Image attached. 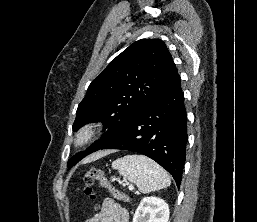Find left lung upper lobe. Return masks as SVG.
I'll use <instances>...</instances> for the list:
<instances>
[{
	"instance_id": "left-lung-upper-lobe-1",
	"label": "left lung upper lobe",
	"mask_w": 257,
	"mask_h": 222,
	"mask_svg": "<svg viewBox=\"0 0 257 222\" xmlns=\"http://www.w3.org/2000/svg\"><path fill=\"white\" fill-rule=\"evenodd\" d=\"M176 75L162 40L141 39L126 48L91 82L73 124L76 131L87 123L103 122L106 132L71 158L69 166L109 143Z\"/></svg>"
}]
</instances>
